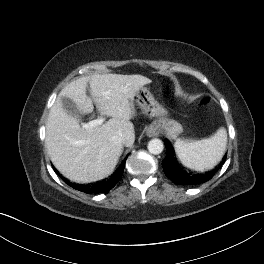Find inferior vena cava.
Segmentation results:
<instances>
[{
    "label": "inferior vena cava",
    "mask_w": 264,
    "mask_h": 264,
    "mask_svg": "<svg viewBox=\"0 0 264 264\" xmlns=\"http://www.w3.org/2000/svg\"><path fill=\"white\" fill-rule=\"evenodd\" d=\"M112 141L119 143L121 145H125L126 144V139L124 137H118V136H114L112 137Z\"/></svg>",
    "instance_id": "602c4592"
}]
</instances>
